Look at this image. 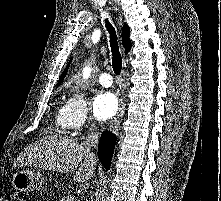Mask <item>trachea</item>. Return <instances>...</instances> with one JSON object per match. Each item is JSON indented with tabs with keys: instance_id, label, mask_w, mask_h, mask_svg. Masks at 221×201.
I'll return each instance as SVG.
<instances>
[{
	"instance_id": "3493384b",
	"label": "trachea",
	"mask_w": 221,
	"mask_h": 201,
	"mask_svg": "<svg viewBox=\"0 0 221 201\" xmlns=\"http://www.w3.org/2000/svg\"><path fill=\"white\" fill-rule=\"evenodd\" d=\"M105 26L110 35V46L112 52V66L115 74L119 75L122 69V57L119 52L117 35L114 27L109 23L108 19H105Z\"/></svg>"
}]
</instances>
